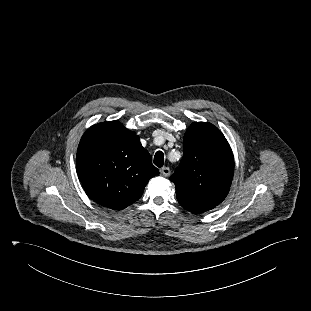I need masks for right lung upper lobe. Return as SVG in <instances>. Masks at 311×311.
I'll return each instance as SVG.
<instances>
[{"label": "right lung upper lobe", "instance_id": "1", "mask_svg": "<svg viewBox=\"0 0 311 311\" xmlns=\"http://www.w3.org/2000/svg\"><path fill=\"white\" fill-rule=\"evenodd\" d=\"M76 169L86 194L115 210L137 201L159 173L139 136L119 121L97 123L83 134Z\"/></svg>", "mask_w": 311, "mask_h": 311}]
</instances>
